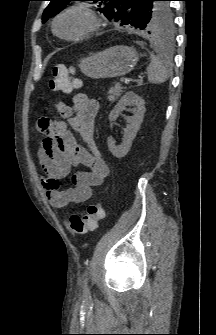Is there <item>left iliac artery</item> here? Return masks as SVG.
Here are the masks:
<instances>
[{
  "instance_id": "obj_1",
  "label": "left iliac artery",
  "mask_w": 216,
  "mask_h": 335,
  "mask_svg": "<svg viewBox=\"0 0 216 335\" xmlns=\"http://www.w3.org/2000/svg\"><path fill=\"white\" fill-rule=\"evenodd\" d=\"M83 283H84V286H83L84 297H89L90 296V290H89V287H88V273L85 274V278H84Z\"/></svg>"
}]
</instances>
